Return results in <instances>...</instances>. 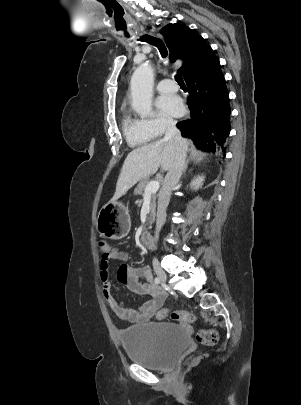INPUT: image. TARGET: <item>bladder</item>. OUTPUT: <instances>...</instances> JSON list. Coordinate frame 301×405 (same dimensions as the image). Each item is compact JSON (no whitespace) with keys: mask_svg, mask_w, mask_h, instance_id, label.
<instances>
[{"mask_svg":"<svg viewBox=\"0 0 301 405\" xmlns=\"http://www.w3.org/2000/svg\"><path fill=\"white\" fill-rule=\"evenodd\" d=\"M119 338L130 361L160 371L170 369L189 344L185 327L167 322L131 326Z\"/></svg>","mask_w":301,"mask_h":405,"instance_id":"31cf9c89","label":"bladder"}]
</instances>
